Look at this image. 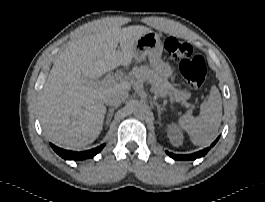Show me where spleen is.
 Here are the masks:
<instances>
[{"label": "spleen", "instance_id": "obj_1", "mask_svg": "<svg viewBox=\"0 0 265 202\" xmlns=\"http://www.w3.org/2000/svg\"><path fill=\"white\" fill-rule=\"evenodd\" d=\"M222 117V101L219 90L213 86L208 100L200 106V115L193 117L190 113L181 116L179 126L185 130L193 144L205 146L215 137Z\"/></svg>", "mask_w": 265, "mask_h": 202}]
</instances>
